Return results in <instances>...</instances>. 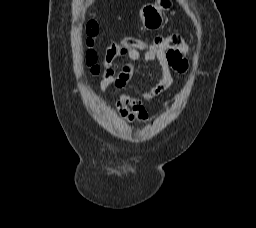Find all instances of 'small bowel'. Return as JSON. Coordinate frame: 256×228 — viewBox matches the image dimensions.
Listing matches in <instances>:
<instances>
[{
  "instance_id": "small-bowel-1",
  "label": "small bowel",
  "mask_w": 256,
  "mask_h": 228,
  "mask_svg": "<svg viewBox=\"0 0 256 228\" xmlns=\"http://www.w3.org/2000/svg\"><path fill=\"white\" fill-rule=\"evenodd\" d=\"M128 58L133 62H150L157 60L162 71L160 81L152 88L143 92L141 98H131L126 95L120 96L116 107L120 115L128 121H146L148 119L144 103L153 100L168 90L173 84L172 71L184 72L187 69V60L179 51L171 49L167 44V37H158L151 47L142 56L138 49L126 50L113 64H104L103 77L100 89L105 91L108 87L122 88L135 80L133 66L127 64L117 71L118 62Z\"/></svg>"
}]
</instances>
